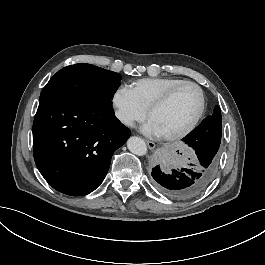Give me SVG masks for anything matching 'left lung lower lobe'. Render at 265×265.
I'll use <instances>...</instances> for the list:
<instances>
[{
    "label": "left lung lower lobe",
    "mask_w": 265,
    "mask_h": 265,
    "mask_svg": "<svg viewBox=\"0 0 265 265\" xmlns=\"http://www.w3.org/2000/svg\"><path fill=\"white\" fill-rule=\"evenodd\" d=\"M210 133L197 127L182 139L197 155L193 167L169 170L157 165L152 169L150 181L159 193L175 200H189L210 185L218 170L221 142V135Z\"/></svg>",
    "instance_id": "obj_1"
}]
</instances>
